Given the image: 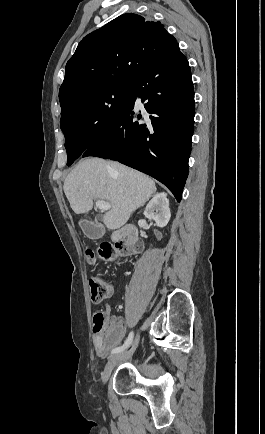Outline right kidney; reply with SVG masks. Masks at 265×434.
Wrapping results in <instances>:
<instances>
[{
  "mask_svg": "<svg viewBox=\"0 0 265 434\" xmlns=\"http://www.w3.org/2000/svg\"><path fill=\"white\" fill-rule=\"evenodd\" d=\"M145 218L148 220H154L158 228H165L170 218L171 212L169 208V200H167V194L160 192L155 194L154 198L148 202L144 210Z\"/></svg>",
  "mask_w": 265,
  "mask_h": 434,
  "instance_id": "ca27d5eb",
  "label": "right kidney"
}]
</instances>
